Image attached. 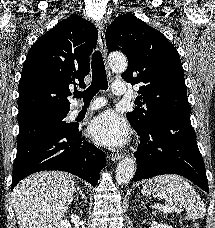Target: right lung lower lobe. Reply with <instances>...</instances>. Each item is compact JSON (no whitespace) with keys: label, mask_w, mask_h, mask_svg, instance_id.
<instances>
[{"label":"right lung lower lobe","mask_w":215,"mask_h":228,"mask_svg":"<svg viewBox=\"0 0 215 228\" xmlns=\"http://www.w3.org/2000/svg\"><path fill=\"white\" fill-rule=\"evenodd\" d=\"M81 135L76 126L43 131L17 142L11 188L26 176L44 170L66 171L96 186L105 156L94 144L82 141Z\"/></svg>","instance_id":"right-lung-lower-lobe-1"}]
</instances>
